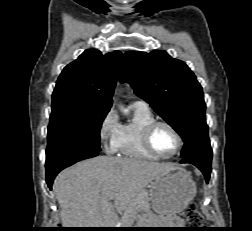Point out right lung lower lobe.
I'll use <instances>...</instances> for the list:
<instances>
[{
    "instance_id": "98d812e1",
    "label": "right lung lower lobe",
    "mask_w": 252,
    "mask_h": 231,
    "mask_svg": "<svg viewBox=\"0 0 252 231\" xmlns=\"http://www.w3.org/2000/svg\"><path fill=\"white\" fill-rule=\"evenodd\" d=\"M98 154L97 150H70L46 158V182L48 187L52 188L54 178L64 168L80 160L95 157Z\"/></svg>"
}]
</instances>
